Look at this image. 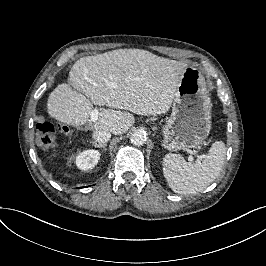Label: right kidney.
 <instances>
[{"mask_svg":"<svg viewBox=\"0 0 266 266\" xmlns=\"http://www.w3.org/2000/svg\"><path fill=\"white\" fill-rule=\"evenodd\" d=\"M100 159V152L98 150L90 149L79 153L76 156V166L80 170L92 169L97 165Z\"/></svg>","mask_w":266,"mask_h":266,"instance_id":"1","label":"right kidney"}]
</instances>
